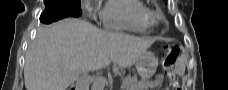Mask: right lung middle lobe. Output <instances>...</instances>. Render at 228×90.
Here are the masks:
<instances>
[{"mask_svg":"<svg viewBox=\"0 0 228 90\" xmlns=\"http://www.w3.org/2000/svg\"><path fill=\"white\" fill-rule=\"evenodd\" d=\"M45 7H54L56 13L67 17H78L81 15L80 0H44Z\"/></svg>","mask_w":228,"mask_h":90,"instance_id":"1","label":"right lung middle lobe"}]
</instances>
